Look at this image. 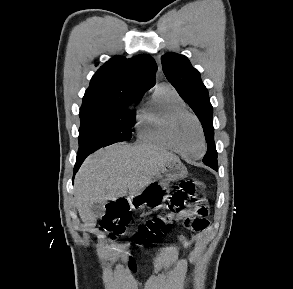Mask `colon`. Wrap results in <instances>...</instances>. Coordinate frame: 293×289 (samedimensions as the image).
<instances>
[{
  "label": "colon",
  "instance_id": "5ec220e1",
  "mask_svg": "<svg viewBox=\"0 0 293 289\" xmlns=\"http://www.w3.org/2000/svg\"><path fill=\"white\" fill-rule=\"evenodd\" d=\"M198 188L204 189L205 184L201 181L187 180L175 188L167 211L142 223L133 233L131 241L137 245L154 243L169 233L175 214L181 212L189 205L194 206L196 215L206 219L209 210L207 205L199 199ZM129 220L128 208L124 202L118 201L110 205V209L103 218L100 229L109 237L120 235ZM184 225L192 230H199L202 225L197 219H186Z\"/></svg>",
  "mask_w": 293,
  "mask_h": 289
}]
</instances>
